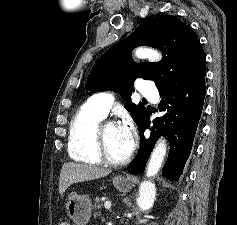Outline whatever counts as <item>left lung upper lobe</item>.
Masks as SVG:
<instances>
[{
    "label": "left lung upper lobe",
    "mask_w": 237,
    "mask_h": 225,
    "mask_svg": "<svg viewBox=\"0 0 237 225\" xmlns=\"http://www.w3.org/2000/svg\"><path fill=\"white\" fill-rule=\"evenodd\" d=\"M151 46L163 52L160 62L136 63L131 52L138 46ZM206 74L205 53L197 34L173 15L147 17L126 39L109 48L95 63L86 89L95 93L113 90L121 93L124 107L137 126L147 109L131 102L136 78L153 80L159 92L172 91L193 83Z\"/></svg>",
    "instance_id": "1"
}]
</instances>
